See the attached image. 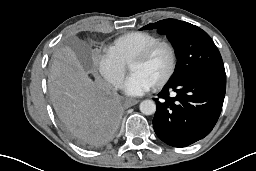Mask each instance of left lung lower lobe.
Segmentation results:
<instances>
[{"instance_id": "obj_1", "label": "left lung lower lobe", "mask_w": 256, "mask_h": 171, "mask_svg": "<svg viewBox=\"0 0 256 171\" xmlns=\"http://www.w3.org/2000/svg\"><path fill=\"white\" fill-rule=\"evenodd\" d=\"M225 90L224 70L196 71L168 82L158 94L160 100L155 99V133L174 147H186L204 138L219 118Z\"/></svg>"}]
</instances>
